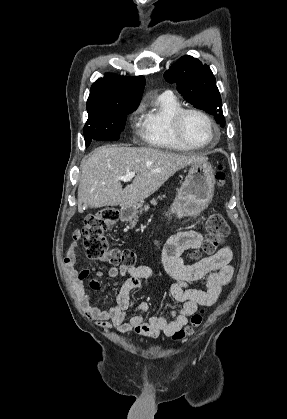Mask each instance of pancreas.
Here are the masks:
<instances>
[{
  "label": "pancreas",
  "mask_w": 287,
  "mask_h": 419,
  "mask_svg": "<svg viewBox=\"0 0 287 419\" xmlns=\"http://www.w3.org/2000/svg\"><path fill=\"white\" fill-rule=\"evenodd\" d=\"M162 197L161 196H159L157 199H152L151 201H150V203L151 204H153V205H156L157 204V201H158V199H161ZM149 209V205L148 204H146L144 207H142L141 208V211L140 212H142V211H146V210H148Z\"/></svg>",
  "instance_id": "1"
}]
</instances>
